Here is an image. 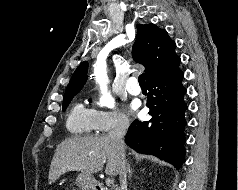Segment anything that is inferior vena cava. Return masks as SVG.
I'll return each mask as SVG.
<instances>
[{
	"mask_svg": "<svg viewBox=\"0 0 238 190\" xmlns=\"http://www.w3.org/2000/svg\"><path fill=\"white\" fill-rule=\"evenodd\" d=\"M129 127V121L125 117L119 118L115 128L109 132V138L115 144L119 155H120V169H119V179L121 184V190H126V177H127V163L125 160V151H124V136L126 130ZM117 190H120L117 188Z\"/></svg>",
	"mask_w": 238,
	"mask_h": 190,
	"instance_id": "obj_1",
	"label": "inferior vena cava"
}]
</instances>
